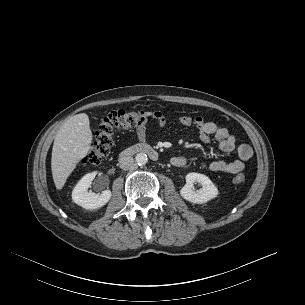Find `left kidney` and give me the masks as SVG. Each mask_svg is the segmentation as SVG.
I'll use <instances>...</instances> for the list:
<instances>
[{"instance_id": "1", "label": "left kidney", "mask_w": 305, "mask_h": 305, "mask_svg": "<svg viewBox=\"0 0 305 305\" xmlns=\"http://www.w3.org/2000/svg\"><path fill=\"white\" fill-rule=\"evenodd\" d=\"M195 183H200L202 188L195 190ZM180 194L191 203L203 204L217 197L218 189L207 176L192 172L186 175V184L180 190Z\"/></svg>"}]
</instances>
